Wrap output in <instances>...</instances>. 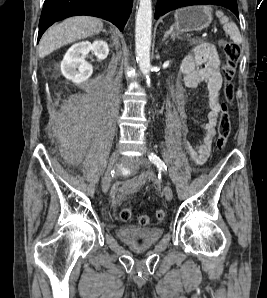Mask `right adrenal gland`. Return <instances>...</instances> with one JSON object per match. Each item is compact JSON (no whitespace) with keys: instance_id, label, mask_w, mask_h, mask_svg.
I'll return each mask as SVG.
<instances>
[{"instance_id":"1","label":"right adrenal gland","mask_w":267,"mask_h":298,"mask_svg":"<svg viewBox=\"0 0 267 298\" xmlns=\"http://www.w3.org/2000/svg\"><path fill=\"white\" fill-rule=\"evenodd\" d=\"M103 32H104V33H107V31H106V30H103Z\"/></svg>"}]
</instances>
